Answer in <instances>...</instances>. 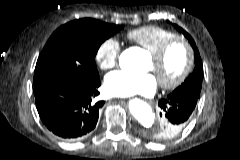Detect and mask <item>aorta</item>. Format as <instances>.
<instances>
[{"label": "aorta", "instance_id": "762f6f07", "mask_svg": "<svg viewBox=\"0 0 240 160\" xmlns=\"http://www.w3.org/2000/svg\"><path fill=\"white\" fill-rule=\"evenodd\" d=\"M127 53H130L133 60L138 63L139 54L135 49H130ZM129 110L131 114L138 120V122L146 128H150L155 123V114L151 107L140 99H132L129 102Z\"/></svg>", "mask_w": 240, "mask_h": 160}]
</instances>
